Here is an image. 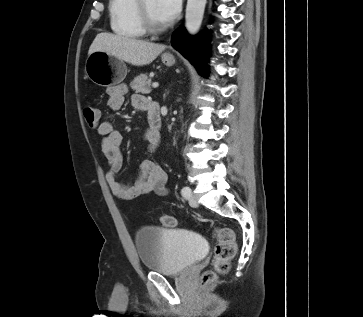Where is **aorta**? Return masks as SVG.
Here are the masks:
<instances>
[{
    "label": "aorta",
    "mask_w": 363,
    "mask_h": 317,
    "mask_svg": "<svg viewBox=\"0 0 363 317\" xmlns=\"http://www.w3.org/2000/svg\"><path fill=\"white\" fill-rule=\"evenodd\" d=\"M207 0H187L185 26L189 34L198 33L204 15Z\"/></svg>",
    "instance_id": "762f6f07"
}]
</instances>
